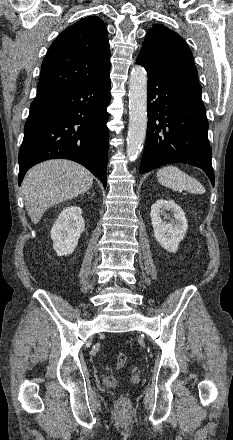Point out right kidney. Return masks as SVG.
I'll return each instance as SVG.
<instances>
[{
	"label": "right kidney",
	"mask_w": 233,
	"mask_h": 440,
	"mask_svg": "<svg viewBox=\"0 0 233 440\" xmlns=\"http://www.w3.org/2000/svg\"><path fill=\"white\" fill-rule=\"evenodd\" d=\"M85 230L82 209L78 206L66 207L58 216L51 229L53 249L58 256L71 254L78 245L80 235Z\"/></svg>",
	"instance_id": "right-kidney-1"
}]
</instances>
